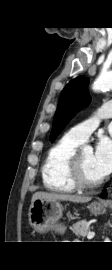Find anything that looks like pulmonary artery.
I'll use <instances>...</instances> for the list:
<instances>
[{
    "label": "pulmonary artery",
    "mask_w": 112,
    "mask_h": 270,
    "mask_svg": "<svg viewBox=\"0 0 112 270\" xmlns=\"http://www.w3.org/2000/svg\"><path fill=\"white\" fill-rule=\"evenodd\" d=\"M108 118H112V102H109L97 109L90 119L72 127L68 131V134L75 140L83 143L99 126L100 120Z\"/></svg>",
    "instance_id": "e3ab8cb5"
}]
</instances>
